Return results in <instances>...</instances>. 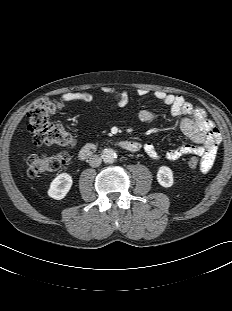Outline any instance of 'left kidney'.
Masks as SVG:
<instances>
[{"mask_svg": "<svg viewBox=\"0 0 232 311\" xmlns=\"http://www.w3.org/2000/svg\"><path fill=\"white\" fill-rule=\"evenodd\" d=\"M157 181L163 187H171L173 185V172L167 166H161L157 172Z\"/></svg>", "mask_w": 232, "mask_h": 311, "instance_id": "5707ae66", "label": "left kidney"}]
</instances>
